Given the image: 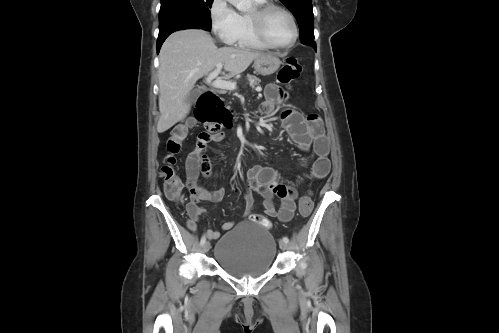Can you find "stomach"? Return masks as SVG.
<instances>
[{
	"label": "stomach",
	"instance_id": "0dacf381",
	"mask_svg": "<svg viewBox=\"0 0 499 333\" xmlns=\"http://www.w3.org/2000/svg\"><path fill=\"white\" fill-rule=\"evenodd\" d=\"M281 65L280 59L272 54H265L254 61V68L257 73L267 76L275 73Z\"/></svg>",
	"mask_w": 499,
	"mask_h": 333
}]
</instances>
